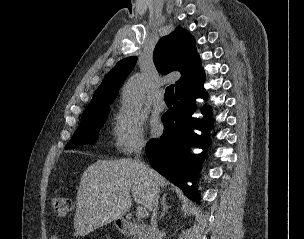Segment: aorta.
<instances>
[{
  "instance_id": "1",
  "label": "aorta",
  "mask_w": 304,
  "mask_h": 239,
  "mask_svg": "<svg viewBox=\"0 0 304 239\" xmlns=\"http://www.w3.org/2000/svg\"><path fill=\"white\" fill-rule=\"evenodd\" d=\"M144 83L140 77L130 79L123 89V103L128 107L139 108L144 101Z\"/></svg>"
}]
</instances>
